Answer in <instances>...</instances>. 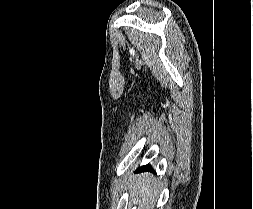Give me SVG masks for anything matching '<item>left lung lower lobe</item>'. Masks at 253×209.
Instances as JSON below:
<instances>
[{
    "mask_svg": "<svg viewBox=\"0 0 253 209\" xmlns=\"http://www.w3.org/2000/svg\"><path fill=\"white\" fill-rule=\"evenodd\" d=\"M146 170L154 172V170L152 169V167H151L150 165H144V166L140 167V168L137 170V172L146 171ZM154 173H155V172H154Z\"/></svg>",
    "mask_w": 253,
    "mask_h": 209,
    "instance_id": "obj_1",
    "label": "left lung lower lobe"
}]
</instances>
